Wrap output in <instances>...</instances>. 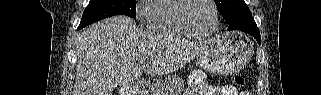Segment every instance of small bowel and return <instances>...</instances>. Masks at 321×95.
Instances as JSON below:
<instances>
[{
	"label": "small bowel",
	"mask_w": 321,
	"mask_h": 95,
	"mask_svg": "<svg viewBox=\"0 0 321 95\" xmlns=\"http://www.w3.org/2000/svg\"><path fill=\"white\" fill-rule=\"evenodd\" d=\"M205 95H238L234 87L230 85L224 86H208L204 92ZM188 95H195V93H189Z\"/></svg>",
	"instance_id": "obj_1"
}]
</instances>
